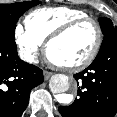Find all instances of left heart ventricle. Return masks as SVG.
Here are the masks:
<instances>
[{
  "label": "left heart ventricle",
  "instance_id": "obj_1",
  "mask_svg": "<svg viewBox=\"0 0 117 117\" xmlns=\"http://www.w3.org/2000/svg\"><path fill=\"white\" fill-rule=\"evenodd\" d=\"M96 35V28L92 23L79 25L51 45L50 59L60 65H72L82 61L92 51Z\"/></svg>",
  "mask_w": 117,
  "mask_h": 117
}]
</instances>
